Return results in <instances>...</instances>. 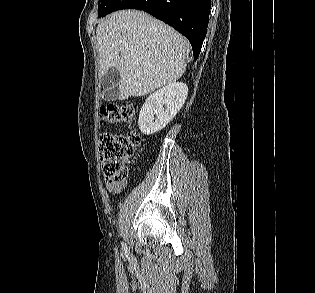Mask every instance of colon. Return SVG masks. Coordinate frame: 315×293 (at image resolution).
I'll list each match as a JSON object with an SVG mask.
<instances>
[{
	"mask_svg": "<svg viewBox=\"0 0 315 293\" xmlns=\"http://www.w3.org/2000/svg\"><path fill=\"white\" fill-rule=\"evenodd\" d=\"M102 121L107 123L131 122L134 109L130 105H108L100 109ZM141 142L140 135L105 133L99 138L102 171L107 183H123L128 176V162Z\"/></svg>",
	"mask_w": 315,
	"mask_h": 293,
	"instance_id": "1",
	"label": "colon"
}]
</instances>
